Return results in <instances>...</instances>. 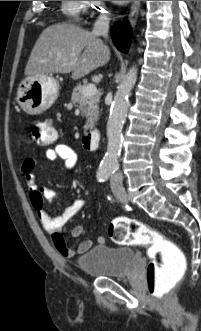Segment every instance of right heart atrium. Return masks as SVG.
<instances>
[{
  "label": "right heart atrium",
  "mask_w": 201,
  "mask_h": 331,
  "mask_svg": "<svg viewBox=\"0 0 201 331\" xmlns=\"http://www.w3.org/2000/svg\"><path fill=\"white\" fill-rule=\"evenodd\" d=\"M85 6V11L90 12L89 17L94 19L96 16H105L106 10L101 9L102 1H81Z\"/></svg>",
  "instance_id": "right-heart-atrium-1"
}]
</instances>
